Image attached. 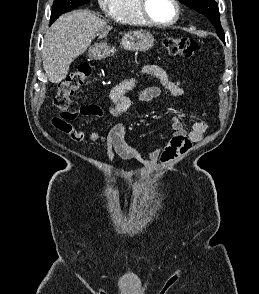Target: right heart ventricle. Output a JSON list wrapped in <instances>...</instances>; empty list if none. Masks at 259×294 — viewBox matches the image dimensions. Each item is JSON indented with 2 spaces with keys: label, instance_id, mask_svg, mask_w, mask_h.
I'll return each mask as SVG.
<instances>
[{
  "label": "right heart ventricle",
  "instance_id": "1",
  "mask_svg": "<svg viewBox=\"0 0 259 294\" xmlns=\"http://www.w3.org/2000/svg\"><path fill=\"white\" fill-rule=\"evenodd\" d=\"M111 17L123 24L128 25H146V21L142 18L139 12L138 0H115Z\"/></svg>",
  "mask_w": 259,
  "mask_h": 294
}]
</instances>
